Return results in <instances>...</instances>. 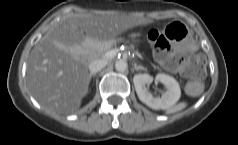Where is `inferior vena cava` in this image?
<instances>
[{
    "label": "inferior vena cava",
    "instance_id": "obj_1",
    "mask_svg": "<svg viewBox=\"0 0 238 145\" xmlns=\"http://www.w3.org/2000/svg\"><path fill=\"white\" fill-rule=\"evenodd\" d=\"M107 65V60L105 59H95L90 62L89 70L91 73L95 74L102 70Z\"/></svg>",
    "mask_w": 238,
    "mask_h": 145
}]
</instances>
